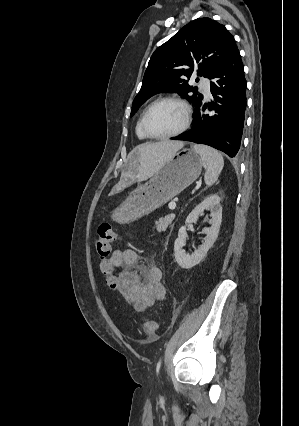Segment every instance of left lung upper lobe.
<instances>
[{
  "instance_id": "left-lung-upper-lobe-1",
  "label": "left lung upper lobe",
  "mask_w": 299,
  "mask_h": 426,
  "mask_svg": "<svg viewBox=\"0 0 299 426\" xmlns=\"http://www.w3.org/2000/svg\"><path fill=\"white\" fill-rule=\"evenodd\" d=\"M235 50V39L224 25L210 18L191 21L152 54L131 116L147 99L161 92H177L197 110L203 96L188 85V80L195 73L212 79Z\"/></svg>"
}]
</instances>
